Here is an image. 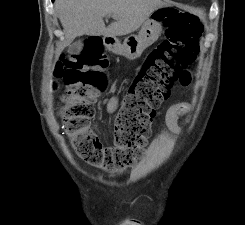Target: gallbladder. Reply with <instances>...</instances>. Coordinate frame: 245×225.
<instances>
[{
  "instance_id": "bac80fb5",
  "label": "gallbladder",
  "mask_w": 245,
  "mask_h": 225,
  "mask_svg": "<svg viewBox=\"0 0 245 225\" xmlns=\"http://www.w3.org/2000/svg\"><path fill=\"white\" fill-rule=\"evenodd\" d=\"M82 47V41L78 40L69 46L68 52L70 54H78L82 50Z\"/></svg>"
}]
</instances>
